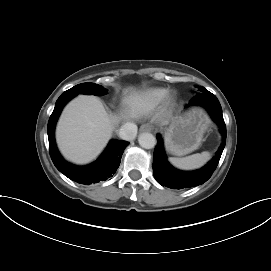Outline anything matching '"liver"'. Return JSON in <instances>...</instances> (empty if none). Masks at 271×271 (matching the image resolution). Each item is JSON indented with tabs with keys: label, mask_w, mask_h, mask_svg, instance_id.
<instances>
[{
	"label": "liver",
	"mask_w": 271,
	"mask_h": 271,
	"mask_svg": "<svg viewBox=\"0 0 271 271\" xmlns=\"http://www.w3.org/2000/svg\"><path fill=\"white\" fill-rule=\"evenodd\" d=\"M117 122L118 117L108 114L95 96L76 97L65 107L57 125L60 151L74 163L91 162L106 146Z\"/></svg>",
	"instance_id": "6515ba94"
}]
</instances>
